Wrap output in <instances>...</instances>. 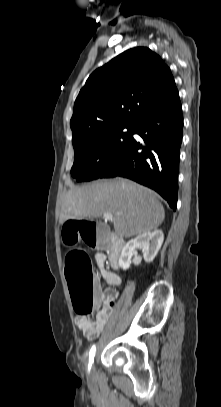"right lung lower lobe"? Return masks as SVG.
I'll use <instances>...</instances> for the list:
<instances>
[{
  "instance_id": "obj_1",
  "label": "right lung lower lobe",
  "mask_w": 221,
  "mask_h": 407,
  "mask_svg": "<svg viewBox=\"0 0 221 407\" xmlns=\"http://www.w3.org/2000/svg\"><path fill=\"white\" fill-rule=\"evenodd\" d=\"M121 157L100 178L122 176L157 191L176 209L180 146L183 136L182 106L177 88L134 124V133Z\"/></svg>"
}]
</instances>
